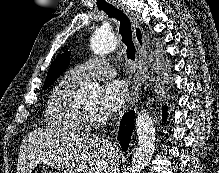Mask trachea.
Segmentation results:
<instances>
[{"mask_svg":"<svg viewBox=\"0 0 219 173\" xmlns=\"http://www.w3.org/2000/svg\"><path fill=\"white\" fill-rule=\"evenodd\" d=\"M99 10H103L109 17L115 18L119 21V34L122 37V42L126 46L127 58L130 60H135L136 49L133 43L131 22L128 16L113 5L99 7Z\"/></svg>","mask_w":219,"mask_h":173,"instance_id":"obj_1","label":"trachea"}]
</instances>
